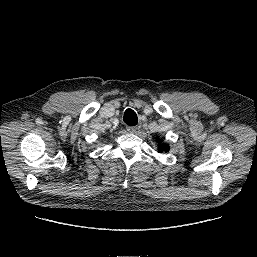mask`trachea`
<instances>
[{"label":"trachea","mask_w":257,"mask_h":257,"mask_svg":"<svg viewBox=\"0 0 257 257\" xmlns=\"http://www.w3.org/2000/svg\"><path fill=\"white\" fill-rule=\"evenodd\" d=\"M123 121L129 126H134L138 122L137 114L134 110L127 109L124 113Z\"/></svg>","instance_id":"obj_1"}]
</instances>
